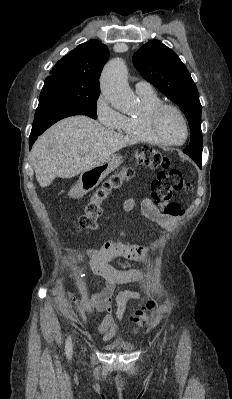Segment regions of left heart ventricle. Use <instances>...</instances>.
Masks as SVG:
<instances>
[{"instance_id": "left-heart-ventricle-1", "label": "left heart ventricle", "mask_w": 232, "mask_h": 399, "mask_svg": "<svg viewBox=\"0 0 232 399\" xmlns=\"http://www.w3.org/2000/svg\"><path fill=\"white\" fill-rule=\"evenodd\" d=\"M159 132L167 139L182 142L186 136L185 126L173 110H165L158 119Z\"/></svg>"}]
</instances>
